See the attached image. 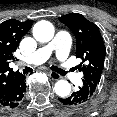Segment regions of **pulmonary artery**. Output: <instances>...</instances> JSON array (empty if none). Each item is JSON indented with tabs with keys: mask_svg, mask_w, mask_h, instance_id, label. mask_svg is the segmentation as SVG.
<instances>
[{
	"mask_svg": "<svg viewBox=\"0 0 117 117\" xmlns=\"http://www.w3.org/2000/svg\"><path fill=\"white\" fill-rule=\"evenodd\" d=\"M70 45L71 38L69 34L64 31H58L49 44L39 48L31 55L30 61L33 64H40L48 60L52 54H55L58 59L64 60L69 55ZM68 74H70L75 83L81 82L82 76L80 74H72V72H68Z\"/></svg>",
	"mask_w": 117,
	"mask_h": 117,
	"instance_id": "1",
	"label": "pulmonary artery"
}]
</instances>
